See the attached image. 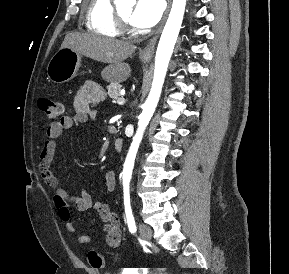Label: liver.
Here are the masks:
<instances>
[{"label": "liver", "instance_id": "liver-1", "mask_svg": "<svg viewBox=\"0 0 289 274\" xmlns=\"http://www.w3.org/2000/svg\"><path fill=\"white\" fill-rule=\"evenodd\" d=\"M61 48H71L93 60L108 63L102 77L109 82H124L131 73L130 65L124 60L134 53L136 46L90 33L71 32L64 38Z\"/></svg>", "mask_w": 289, "mask_h": 274}]
</instances>
